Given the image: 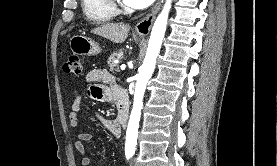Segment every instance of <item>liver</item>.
I'll list each match as a JSON object with an SVG mask.
<instances>
[{"label":"liver","mask_w":277,"mask_h":166,"mask_svg":"<svg viewBox=\"0 0 277 166\" xmlns=\"http://www.w3.org/2000/svg\"><path fill=\"white\" fill-rule=\"evenodd\" d=\"M130 31V26L122 23H106L91 30V33L104 37L114 43H123Z\"/></svg>","instance_id":"obj_1"}]
</instances>
